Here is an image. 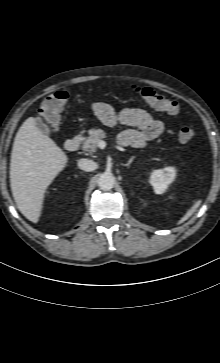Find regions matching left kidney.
Masks as SVG:
<instances>
[{
  "mask_svg": "<svg viewBox=\"0 0 220 363\" xmlns=\"http://www.w3.org/2000/svg\"><path fill=\"white\" fill-rule=\"evenodd\" d=\"M175 172L173 167H165L164 169L154 170L151 173L149 182L156 194H162L166 191L168 185L175 177Z\"/></svg>",
  "mask_w": 220,
  "mask_h": 363,
  "instance_id": "obj_1",
  "label": "left kidney"
}]
</instances>
